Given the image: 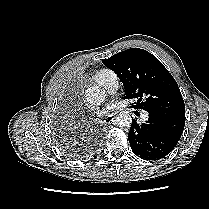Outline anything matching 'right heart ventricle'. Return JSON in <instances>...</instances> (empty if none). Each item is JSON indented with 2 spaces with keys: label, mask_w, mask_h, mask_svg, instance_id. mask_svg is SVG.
Listing matches in <instances>:
<instances>
[{
  "label": "right heart ventricle",
  "mask_w": 209,
  "mask_h": 209,
  "mask_svg": "<svg viewBox=\"0 0 209 209\" xmlns=\"http://www.w3.org/2000/svg\"><path fill=\"white\" fill-rule=\"evenodd\" d=\"M105 70L99 71L96 75L103 73Z\"/></svg>",
  "instance_id": "e07e8e85"
}]
</instances>
